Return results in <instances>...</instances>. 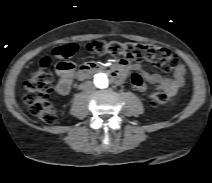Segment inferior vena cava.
Here are the masks:
<instances>
[{
	"label": "inferior vena cava",
	"mask_w": 212,
	"mask_h": 183,
	"mask_svg": "<svg viewBox=\"0 0 212 183\" xmlns=\"http://www.w3.org/2000/svg\"><path fill=\"white\" fill-rule=\"evenodd\" d=\"M83 89H84L86 92H92V91L95 89V87H94V85H93L91 82H85V83L83 84Z\"/></svg>",
	"instance_id": "1"
}]
</instances>
